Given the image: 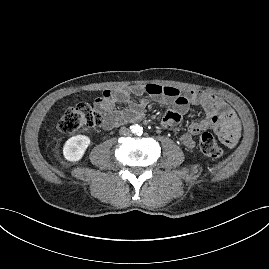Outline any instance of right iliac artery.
Here are the masks:
<instances>
[{
  "label": "right iliac artery",
  "mask_w": 269,
  "mask_h": 269,
  "mask_svg": "<svg viewBox=\"0 0 269 269\" xmlns=\"http://www.w3.org/2000/svg\"><path fill=\"white\" fill-rule=\"evenodd\" d=\"M131 129H132V130H134V129H135V127H134V126H131Z\"/></svg>",
  "instance_id": "obj_1"
}]
</instances>
